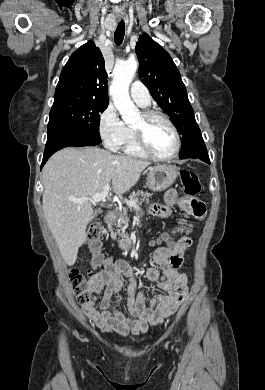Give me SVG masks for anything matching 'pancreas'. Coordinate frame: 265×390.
<instances>
[{
  "instance_id": "obj_1",
  "label": "pancreas",
  "mask_w": 265,
  "mask_h": 390,
  "mask_svg": "<svg viewBox=\"0 0 265 390\" xmlns=\"http://www.w3.org/2000/svg\"><path fill=\"white\" fill-rule=\"evenodd\" d=\"M139 196H142V197H150V194L148 192H138L137 194H133L130 196V201H136V202H139ZM134 206H129L128 208L132 209ZM128 208L126 207H123L122 209H118L115 211V220L113 222H110L109 224V231L112 232V237L115 239L116 238V235H120V236H123L125 239L122 240V242L124 243H128L129 242V239H128V235L123 233V232H120V230H118L117 232H113V225H116L118 222V224H124L127 222V213H128Z\"/></svg>"
}]
</instances>
